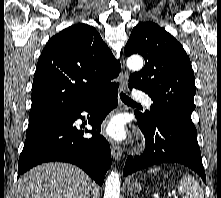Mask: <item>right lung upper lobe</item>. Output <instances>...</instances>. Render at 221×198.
<instances>
[{
    "label": "right lung upper lobe",
    "instance_id": "cb5924a9",
    "mask_svg": "<svg viewBox=\"0 0 221 198\" xmlns=\"http://www.w3.org/2000/svg\"><path fill=\"white\" fill-rule=\"evenodd\" d=\"M120 63L96 29L76 24L53 36L39 57L29 122L77 111L114 86Z\"/></svg>",
    "mask_w": 221,
    "mask_h": 198
}]
</instances>
